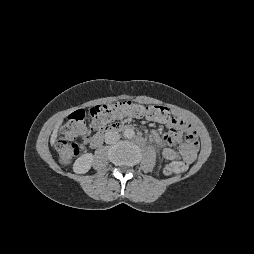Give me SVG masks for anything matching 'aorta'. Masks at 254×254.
Returning a JSON list of instances; mask_svg holds the SVG:
<instances>
[{
  "label": "aorta",
  "instance_id": "aorta-1",
  "mask_svg": "<svg viewBox=\"0 0 254 254\" xmlns=\"http://www.w3.org/2000/svg\"><path fill=\"white\" fill-rule=\"evenodd\" d=\"M125 138L131 139L135 136V132L132 128H126L123 132Z\"/></svg>",
  "mask_w": 254,
  "mask_h": 254
}]
</instances>
